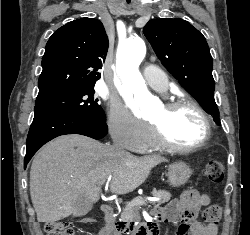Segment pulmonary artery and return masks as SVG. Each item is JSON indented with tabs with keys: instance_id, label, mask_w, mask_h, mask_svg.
Instances as JSON below:
<instances>
[{
	"instance_id": "obj_1",
	"label": "pulmonary artery",
	"mask_w": 250,
	"mask_h": 235,
	"mask_svg": "<svg viewBox=\"0 0 250 235\" xmlns=\"http://www.w3.org/2000/svg\"><path fill=\"white\" fill-rule=\"evenodd\" d=\"M146 81L157 92L164 93L168 89L167 76L157 68H148L146 70Z\"/></svg>"
}]
</instances>
